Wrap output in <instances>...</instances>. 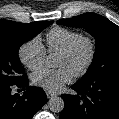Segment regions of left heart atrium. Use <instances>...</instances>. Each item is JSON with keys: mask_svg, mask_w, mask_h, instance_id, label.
I'll list each match as a JSON object with an SVG mask.
<instances>
[{"mask_svg": "<svg viewBox=\"0 0 119 119\" xmlns=\"http://www.w3.org/2000/svg\"><path fill=\"white\" fill-rule=\"evenodd\" d=\"M73 72L66 68L58 69H41L31 76L34 85L41 87L50 92L59 91L65 84L73 79Z\"/></svg>", "mask_w": 119, "mask_h": 119, "instance_id": "obj_1", "label": "left heart atrium"}]
</instances>
